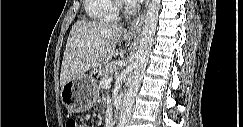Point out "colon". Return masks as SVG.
<instances>
[{
    "label": "colon",
    "instance_id": "1",
    "mask_svg": "<svg viewBox=\"0 0 243 127\" xmlns=\"http://www.w3.org/2000/svg\"><path fill=\"white\" fill-rule=\"evenodd\" d=\"M76 126L78 125L74 119L70 118L66 121V127H76Z\"/></svg>",
    "mask_w": 243,
    "mask_h": 127
}]
</instances>
